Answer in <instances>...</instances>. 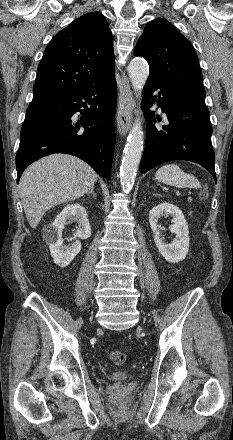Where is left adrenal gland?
<instances>
[{"label":"left adrenal gland","mask_w":233,"mask_h":440,"mask_svg":"<svg viewBox=\"0 0 233 440\" xmlns=\"http://www.w3.org/2000/svg\"><path fill=\"white\" fill-rule=\"evenodd\" d=\"M153 195H155V196H160V195H159V194H157V193H156V194H153Z\"/></svg>","instance_id":"left-adrenal-gland-1"}]
</instances>
